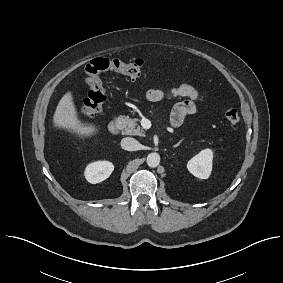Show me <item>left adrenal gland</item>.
<instances>
[{"mask_svg":"<svg viewBox=\"0 0 283 283\" xmlns=\"http://www.w3.org/2000/svg\"><path fill=\"white\" fill-rule=\"evenodd\" d=\"M182 143V140L179 141L176 145H174V148L178 147Z\"/></svg>","mask_w":283,"mask_h":283,"instance_id":"a2214340","label":"left adrenal gland"}]
</instances>
